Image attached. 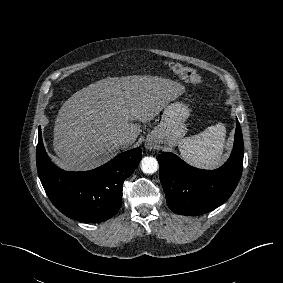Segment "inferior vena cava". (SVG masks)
Listing matches in <instances>:
<instances>
[{"mask_svg":"<svg viewBox=\"0 0 283 283\" xmlns=\"http://www.w3.org/2000/svg\"><path fill=\"white\" fill-rule=\"evenodd\" d=\"M115 142L119 145H122L127 142V137L125 135H121L115 139Z\"/></svg>","mask_w":283,"mask_h":283,"instance_id":"obj_1","label":"inferior vena cava"}]
</instances>
